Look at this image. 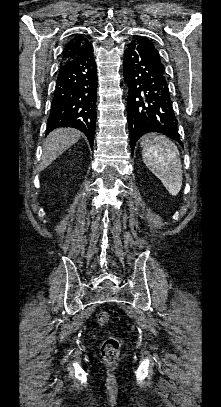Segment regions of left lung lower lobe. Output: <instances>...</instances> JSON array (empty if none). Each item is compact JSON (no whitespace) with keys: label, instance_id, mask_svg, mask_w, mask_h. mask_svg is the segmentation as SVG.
I'll return each instance as SVG.
<instances>
[{"label":"left lung lower lobe","instance_id":"obj_1","mask_svg":"<svg viewBox=\"0 0 221 407\" xmlns=\"http://www.w3.org/2000/svg\"><path fill=\"white\" fill-rule=\"evenodd\" d=\"M124 79L129 86L127 117L130 144L148 132L166 135L181 144L166 72L146 42L135 39L124 51Z\"/></svg>","mask_w":221,"mask_h":407}]
</instances>
